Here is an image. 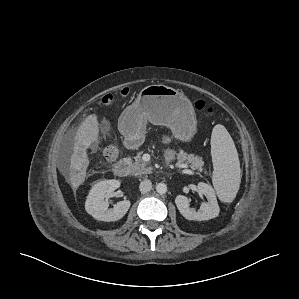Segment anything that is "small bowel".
<instances>
[{
    "mask_svg": "<svg viewBox=\"0 0 299 299\" xmlns=\"http://www.w3.org/2000/svg\"><path fill=\"white\" fill-rule=\"evenodd\" d=\"M165 141H168V139L165 138ZM173 155H174L173 151H172V150H169V151L167 152V159H169V160L172 159Z\"/></svg>",
    "mask_w": 299,
    "mask_h": 299,
    "instance_id": "obj_1",
    "label": "small bowel"
}]
</instances>
